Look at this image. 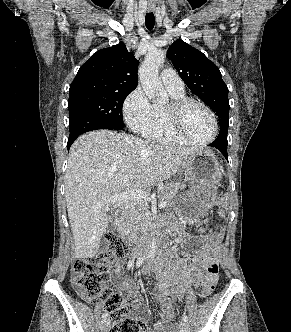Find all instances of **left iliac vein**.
<instances>
[{
  "label": "left iliac vein",
  "instance_id": "4c4485c4",
  "mask_svg": "<svg viewBox=\"0 0 291 332\" xmlns=\"http://www.w3.org/2000/svg\"><path fill=\"white\" fill-rule=\"evenodd\" d=\"M180 332H190V326L186 321H182L179 326Z\"/></svg>",
  "mask_w": 291,
  "mask_h": 332
}]
</instances>
